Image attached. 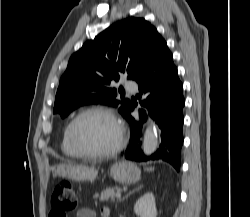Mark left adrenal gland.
<instances>
[{"instance_id": "a2214340", "label": "left adrenal gland", "mask_w": 250, "mask_h": 217, "mask_svg": "<svg viewBox=\"0 0 250 217\" xmlns=\"http://www.w3.org/2000/svg\"><path fill=\"white\" fill-rule=\"evenodd\" d=\"M141 188H143V185H140V186H138L137 188H135L133 191L129 192V193L123 198V200H124L125 198H128L131 194H133L134 192L140 190Z\"/></svg>"}]
</instances>
